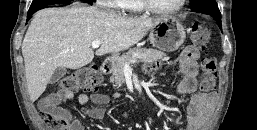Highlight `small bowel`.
<instances>
[{
  "mask_svg": "<svg viewBox=\"0 0 257 130\" xmlns=\"http://www.w3.org/2000/svg\"><path fill=\"white\" fill-rule=\"evenodd\" d=\"M198 59L199 52L193 46L186 47L178 56L182 77L176 89L179 94L191 95L187 105V123L180 130H199L205 122L212 101V96L197 91ZM156 69V63H151L146 67V70L149 72ZM113 97H119V93L113 94ZM63 99L57 93H49L40 101V108L65 115L70 122L69 130H85L80 118L73 117L69 111L58 106ZM109 101L110 96L102 93L80 94L78 96L81 113L99 120L104 118V106ZM89 103H94L96 106L89 107Z\"/></svg>",
  "mask_w": 257,
  "mask_h": 130,
  "instance_id": "c3829d8e",
  "label": "small bowel"
}]
</instances>
